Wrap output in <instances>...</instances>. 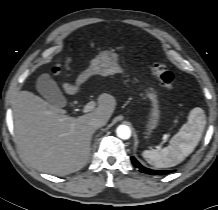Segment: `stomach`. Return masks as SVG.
Here are the masks:
<instances>
[{"label": "stomach", "instance_id": "stomach-1", "mask_svg": "<svg viewBox=\"0 0 218 210\" xmlns=\"http://www.w3.org/2000/svg\"><path fill=\"white\" fill-rule=\"evenodd\" d=\"M123 69L120 65V57L112 51L100 52L92 61L89 69L82 74L77 82L81 83L87 76L98 74L108 76L116 73H122ZM146 96L151 102L149 113L147 116L145 139H150L154 130L159 126L161 119V110L158 101V95L152 88L146 89Z\"/></svg>", "mask_w": 218, "mask_h": 210}]
</instances>
